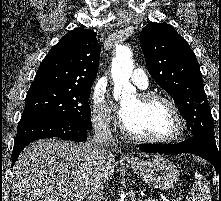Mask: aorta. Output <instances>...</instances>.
Masks as SVG:
<instances>
[{
  "instance_id": "762f6f07",
  "label": "aorta",
  "mask_w": 221,
  "mask_h": 201,
  "mask_svg": "<svg viewBox=\"0 0 221 201\" xmlns=\"http://www.w3.org/2000/svg\"><path fill=\"white\" fill-rule=\"evenodd\" d=\"M132 52L129 47L120 46L112 62V78L114 81V96L118 98L130 92L132 85L129 79L133 72Z\"/></svg>"
}]
</instances>
